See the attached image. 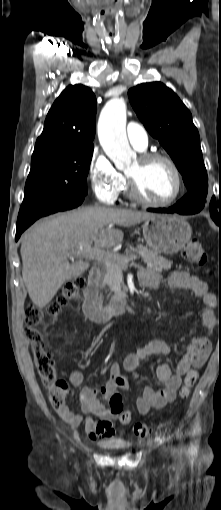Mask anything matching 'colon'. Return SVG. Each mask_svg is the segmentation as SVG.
<instances>
[{
  "instance_id": "colon-1",
  "label": "colon",
  "mask_w": 221,
  "mask_h": 510,
  "mask_svg": "<svg viewBox=\"0 0 221 510\" xmlns=\"http://www.w3.org/2000/svg\"><path fill=\"white\" fill-rule=\"evenodd\" d=\"M182 257L186 261L198 266H204L207 263V254L197 240H190L186 244L182 251ZM84 286L85 280L83 278H75L65 284L58 300L46 310L35 306H30L26 310V322L28 324L26 335L30 340L33 350L35 368L44 385L48 388V400L55 410H65L67 407L66 398L69 387L64 380L58 378L48 341L37 326L43 323L46 315L55 316L62 309L68 307L72 302L77 300ZM197 378V372L194 370H190L186 374L183 386L180 390L182 399L189 397ZM113 382L117 388H123L126 384L123 375H116ZM109 403L116 409L119 415V421L122 424H128L131 416L128 411H124L122 408V397L120 393L117 392L113 394L110 397ZM149 431V427L143 423H137L133 427V432L138 437L146 436Z\"/></svg>"
}]
</instances>
